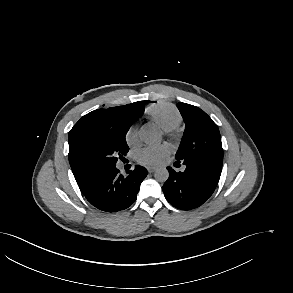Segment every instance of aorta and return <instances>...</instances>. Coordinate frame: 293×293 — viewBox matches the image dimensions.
Instances as JSON below:
<instances>
[{
	"label": "aorta",
	"instance_id": "obj_1",
	"mask_svg": "<svg viewBox=\"0 0 293 293\" xmlns=\"http://www.w3.org/2000/svg\"><path fill=\"white\" fill-rule=\"evenodd\" d=\"M139 136L143 142L149 145H157L162 140L161 133L150 126L142 128ZM154 177L158 182H165L169 177V172L166 168H159L155 171Z\"/></svg>",
	"mask_w": 293,
	"mask_h": 293
}]
</instances>
